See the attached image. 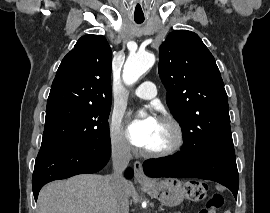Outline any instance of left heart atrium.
Segmentation results:
<instances>
[{
    "mask_svg": "<svg viewBox=\"0 0 270 213\" xmlns=\"http://www.w3.org/2000/svg\"><path fill=\"white\" fill-rule=\"evenodd\" d=\"M157 124L158 119L153 114H148L143 118H134L127 125L126 137L133 146L146 149Z\"/></svg>",
    "mask_w": 270,
    "mask_h": 213,
    "instance_id": "1",
    "label": "left heart atrium"
}]
</instances>
